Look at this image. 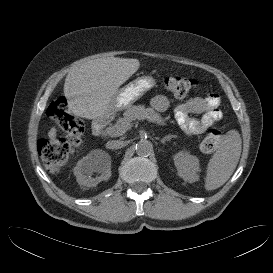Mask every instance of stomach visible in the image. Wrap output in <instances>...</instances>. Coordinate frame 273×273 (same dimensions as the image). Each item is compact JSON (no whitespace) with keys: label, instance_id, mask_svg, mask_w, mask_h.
Returning <instances> with one entry per match:
<instances>
[{"label":"stomach","instance_id":"obj_1","mask_svg":"<svg viewBox=\"0 0 273 273\" xmlns=\"http://www.w3.org/2000/svg\"><path fill=\"white\" fill-rule=\"evenodd\" d=\"M155 83L152 76H142L119 89L114 99L115 110H122L131 106L154 87Z\"/></svg>","mask_w":273,"mask_h":273}]
</instances>
